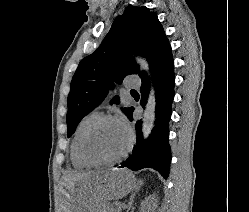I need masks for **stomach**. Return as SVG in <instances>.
Listing matches in <instances>:
<instances>
[{"label": "stomach", "mask_w": 249, "mask_h": 212, "mask_svg": "<svg viewBox=\"0 0 249 212\" xmlns=\"http://www.w3.org/2000/svg\"><path fill=\"white\" fill-rule=\"evenodd\" d=\"M122 193H131L125 170H97V175H86L75 186L71 202L75 212H99L93 204H109V199L103 198H122Z\"/></svg>", "instance_id": "obj_1"}]
</instances>
